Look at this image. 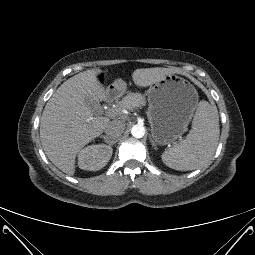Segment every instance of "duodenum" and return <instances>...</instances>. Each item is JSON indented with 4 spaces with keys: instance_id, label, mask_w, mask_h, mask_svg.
Returning <instances> with one entry per match:
<instances>
[{
    "instance_id": "1",
    "label": "duodenum",
    "mask_w": 255,
    "mask_h": 255,
    "mask_svg": "<svg viewBox=\"0 0 255 255\" xmlns=\"http://www.w3.org/2000/svg\"><path fill=\"white\" fill-rule=\"evenodd\" d=\"M116 93H117V89H116V88H110V89H108V90L106 91L105 97H106L107 99H110V98H112Z\"/></svg>"
}]
</instances>
